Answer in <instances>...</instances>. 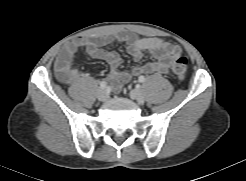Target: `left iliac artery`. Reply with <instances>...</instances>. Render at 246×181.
Returning <instances> with one entry per match:
<instances>
[{
	"instance_id": "left-iliac-artery-1",
	"label": "left iliac artery",
	"mask_w": 246,
	"mask_h": 181,
	"mask_svg": "<svg viewBox=\"0 0 246 181\" xmlns=\"http://www.w3.org/2000/svg\"><path fill=\"white\" fill-rule=\"evenodd\" d=\"M138 81H139L140 83H144V82L146 81V78H145L144 76H140V77L138 78Z\"/></svg>"
}]
</instances>
